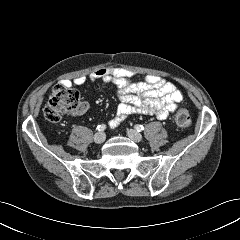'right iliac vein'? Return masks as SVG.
<instances>
[{
  "label": "right iliac vein",
  "instance_id": "obj_1",
  "mask_svg": "<svg viewBox=\"0 0 240 240\" xmlns=\"http://www.w3.org/2000/svg\"><path fill=\"white\" fill-rule=\"evenodd\" d=\"M106 135L104 132H98L94 135V142L97 144H101L105 141Z\"/></svg>",
  "mask_w": 240,
  "mask_h": 240
}]
</instances>
